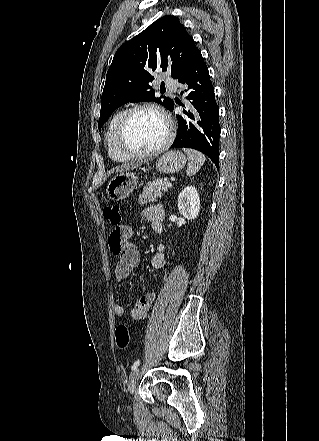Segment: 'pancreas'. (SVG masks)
<instances>
[{
	"label": "pancreas",
	"instance_id": "pancreas-1",
	"mask_svg": "<svg viewBox=\"0 0 319 441\" xmlns=\"http://www.w3.org/2000/svg\"><path fill=\"white\" fill-rule=\"evenodd\" d=\"M168 178H157L149 181L144 187L142 194L139 195L138 203L140 205L153 203L162 196L163 192L167 191L166 185Z\"/></svg>",
	"mask_w": 319,
	"mask_h": 441
}]
</instances>
